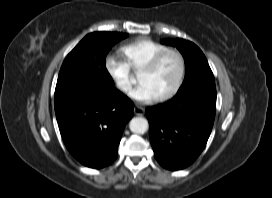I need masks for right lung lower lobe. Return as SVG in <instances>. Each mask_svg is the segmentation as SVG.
I'll list each match as a JSON object with an SVG mask.
<instances>
[{"label":"right lung lower lobe","mask_w":272,"mask_h":198,"mask_svg":"<svg viewBox=\"0 0 272 198\" xmlns=\"http://www.w3.org/2000/svg\"><path fill=\"white\" fill-rule=\"evenodd\" d=\"M60 133L71 155L90 168H103L117 157L133 103L115 88L81 89L55 98Z\"/></svg>","instance_id":"obj_1"}]
</instances>
